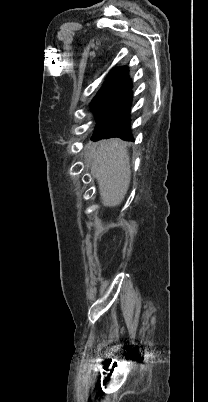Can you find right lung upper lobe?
<instances>
[{"label": "right lung upper lobe", "mask_w": 208, "mask_h": 402, "mask_svg": "<svg viewBox=\"0 0 208 402\" xmlns=\"http://www.w3.org/2000/svg\"><path fill=\"white\" fill-rule=\"evenodd\" d=\"M126 67H120L115 69L110 76L108 77V79L106 80L105 84L103 85V87L100 89V91L98 93L103 92L104 90H110L112 91L113 89L111 88V84L113 83V81L123 72L125 71Z\"/></svg>", "instance_id": "obj_1"}]
</instances>
